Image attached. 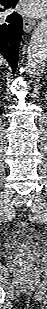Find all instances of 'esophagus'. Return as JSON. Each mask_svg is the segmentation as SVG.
Returning a JSON list of instances; mask_svg holds the SVG:
<instances>
[{
    "label": "esophagus",
    "instance_id": "obj_1",
    "mask_svg": "<svg viewBox=\"0 0 47 309\" xmlns=\"http://www.w3.org/2000/svg\"><path fill=\"white\" fill-rule=\"evenodd\" d=\"M35 26V21L32 19H29L27 17H24L23 19V28L25 32H30L33 27Z\"/></svg>",
    "mask_w": 47,
    "mask_h": 309
}]
</instances>
